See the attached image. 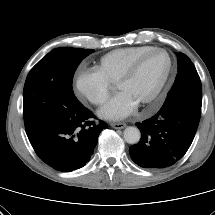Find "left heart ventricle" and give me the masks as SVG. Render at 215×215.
Instances as JSON below:
<instances>
[{
    "instance_id": "1",
    "label": "left heart ventricle",
    "mask_w": 215,
    "mask_h": 215,
    "mask_svg": "<svg viewBox=\"0 0 215 215\" xmlns=\"http://www.w3.org/2000/svg\"><path fill=\"white\" fill-rule=\"evenodd\" d=\"M168 64V57L164 53H153L142 62L134 76L117 89L126 93L138 106L155 91Z\"/></svg>"
}]
</instances>
